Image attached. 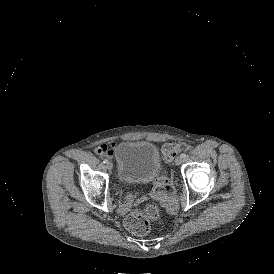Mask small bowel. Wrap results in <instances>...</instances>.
I'll list each match as a JSON object with an SVG mask.
<instances>
[{"label":"small bowel","instance_id":"c3829d8e","mask_svg":"<svg viewBox=\"0 0 274 274\" xmlns=\"http://www.w3.org/2000/svg\"><path fill=\"white\" fill-rule=\"evenodd\" d=\"M114 148V143H102L96 147V152L100 155L112 156L114 154Z\"/></svg>","mask_w":274,"mask_h":274}]
</instances>
